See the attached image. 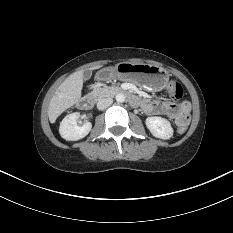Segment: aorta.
Wrapping results in <instances>:
<instances>
[{
  "instance_id": "762f6f07",
  "label": "aorta",
  "mask_w": 233,
  "mask_h": 233,
  "mask_svg": "<svg viewBox=\"0 0 233 233\" xmlns=\"http://www.w3.org/2000/svg\"><path fill=\"white\" fill-rule=\"evenodd\" d=\"M115 98H116V101L119 103H122L125 101V95L122 93L117 94Z\"/></svg>"
}]
</instances>
